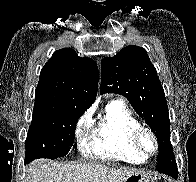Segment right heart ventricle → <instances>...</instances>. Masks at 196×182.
Masks as SVG:
<instances>
[{
    "mask_svg": "<svg viewBox=\"0 0 196 182\" xmlns=\"http://www.w3.org/2000/svg\"><path fill=\"white\" fill-rule=\"evenodd\" d=\"M140 122L119 100L107 104L93 130L89 151L92 155L112 161L139 164L146 157L132 144V134Z\"/></svg>",
    "mask_w": 196,
    "mask_h": 182,
    "instance_id": "1",
    "label": "right heart ventricle"
}]
</instances>
